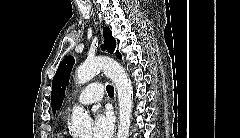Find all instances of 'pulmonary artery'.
Segmentation results:
<instances>
[{
	"label": "pulmonary artery",
	"instance_id": "e3ab8cb5",
	"mask_svg": "<svg viewBox=\"0 0 240 138\" xmlns=\"http://www.w3.org/2000/svg\"><path fill=\"white\" fill-rule=\"evenodd\" d=\"M103 97V88L95 82L88 85L77 98V104L85 106L99 102Z\"/></svg>",
	"mask_w": 240,
	"mask_h": 138
}]
</instances>
